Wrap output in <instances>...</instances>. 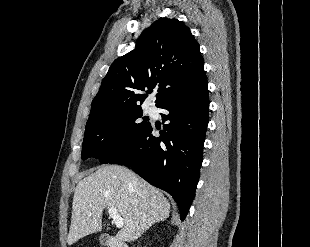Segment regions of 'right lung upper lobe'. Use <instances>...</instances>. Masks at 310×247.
<instances>
[{
  "instance_id": "1",
  "label": "right lung upper lobe",
  "mask_w": 310,
  "mask_h": 247,
  "mask_svg": "<svg viewBox=\"0 0 310 247\" xmlns=\"http://www.w3.org/2000/svg\"><path fill=\"white\" fill-rule=\"evenodd\" d=\"M203 65L191 31L177 19H159L141 34L134 50L112 63L92 101L87 122L141 108L139 104L155 87H159L155 102L160 107L204 83Z\"/></svg>"
}]
</instances>
